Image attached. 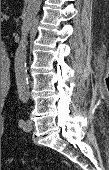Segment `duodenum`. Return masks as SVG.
Returning a JSON list of instances; mask_svg holds the SVG:
<instances>
[{"label": "duodenum", "instance_id": "410a0bca", "mask_svg": "<svg viewBox=\"0 0 109 170\" xmlns=\"http://www.w3.org/2000/svg\"><path fill=\"white\" fill-rule=\"evenodd\" d=\"M1 60H2L4 68H6L8 66V56L6 54H4L1 58ZM6 85H7V82H5V87H6Z\"/></svg>", "mask_w": 109, "mask_h": 170}]
</instances>
